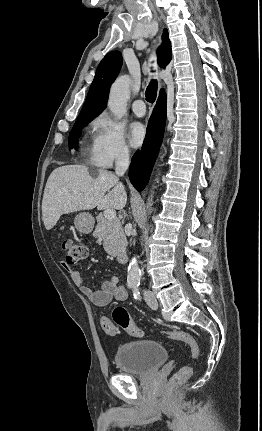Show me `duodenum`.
<instances>
[{
  "mask_svg": "<svg viewBox=\"0 0 262 431\" xmlns=\"http://www.w3.org/2000/svg\"><path fill=\"white\" fill-rule=\"evenodd\" d=\"M117 260L120 264H126L129 260L127 253H120L117 257Z\"/></svg>",
  "mask_w": 262,
  "mask_h": 431,
  "instance_id": "410a0bca",
  "label": "duodenum"
}]
</instances>
